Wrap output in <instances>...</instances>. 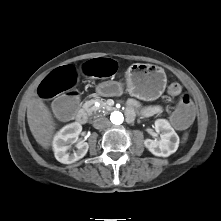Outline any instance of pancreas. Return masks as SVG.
I'll return each mask as SVG.
<instances>
[{"label":"pancreas","mask_w":221,"mask_h":221,"mask_svg":"<svg viewBox=\"0 0 221 221\" xmlns=\"http://www.w3.org/2000/svg\"><path fill=\"white\" fill-rule=\"evenodd\" d=\"M96 101H99L101 103V107H106V102L103 99H99V98L92 99V100L88 101L86 104H84V106H83L89 115L93 114L94 112H96L100 109V108L95 107L93 105Z\"/></svg>","instance_id":"obj_1"}]
</instances>
